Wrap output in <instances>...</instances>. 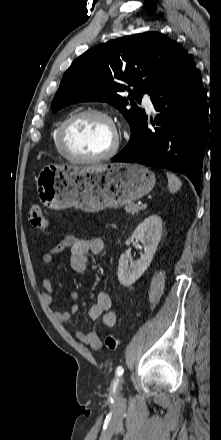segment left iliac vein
<instances>
[{
  "instance_id": "obj_1",
  "label": "left iliac vein",
  "mask_w": 221,
  "mask_h": 440,
  "mask_svg": "<svg viewBox=\"0 0 221 440\" xmlns=\"http://www.w3.org/2000/svg\"><path fill=\"white\" fill-rule=\"evenodd\" d=\"M122 384H123V378H122L121 381H120V384H119V387H118V392H119V390L122 388Z\"/></svg>"
}]
</instances>
